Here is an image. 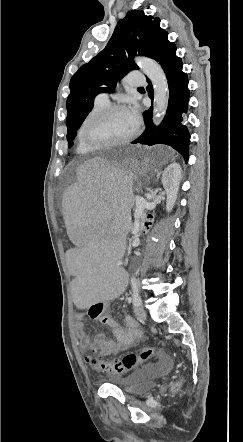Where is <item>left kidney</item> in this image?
Masks as SVG:
<instances>
[{
  "instance_id": "obj_1",
  "label": "left kidney",
  "mask_w": 243,
  "mask_h": 442,
  "mask_svg": "<svg viewBox=\"0 0 243 442\" xmlns=\"http://www.w3.org/2000/svg\"><path fill=\"white\" fill-rule=\"evenodd\" d=\"M180 178L181 167L178 163L170 164L163 172L162 184L167 193L166 210L168 212H170L174 207L177 198Z\"/></svg>"
}]
</instances>
